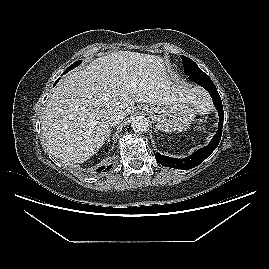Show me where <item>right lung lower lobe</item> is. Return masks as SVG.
<instances>
[{"label": "right lung lower lobe", "mask_w": 269, "mask_h": 269, "mask_svg": "<svg viewBox=\"0 0 269 269\" xmlns=\"http://www.w3.org/2000/svg\"><path fill=\"white\" fill-rule=\"evenodd\" d=\"M65 73H67V72L65 71L63 74H65ZM58 80H59V79H58ZM58 80L55 82L54 85H56V83L58 82ZM111 166H112V165L108 166L107 168H105L104 166H102V167H100L97 171L100 172V171H102V170H104V169H105V171H106V170H109V169L111 168Z\"/></svg>", "instance_id": "98d812e1"}]
</instances>
